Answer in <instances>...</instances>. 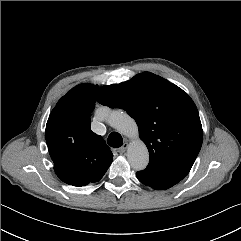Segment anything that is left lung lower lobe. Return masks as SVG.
I'll return each mask as SVG.
<instances>
[{"instance_id": "obj_1", "label": "left lung lower lobe", "mask_w": 241, "mask_h": 241, "mask_svg": "<svg viewBox=\"0 0 241 241\" xmlns=\"http://www.w3.org/2000/svg\"><path fill=\"white\" fill-rule=\"evenodd\" d=\"M136 176L144 185L159 190L168 189L181 181L148 169L137 172Z\"/></svg>"}]
</instances>
